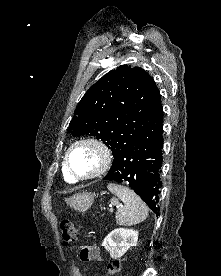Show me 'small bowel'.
Instances as JSON below:
<instances>
[{
	"instance_id": "obj_1",
	"label": "small bowel",
	"mask_w": 221,
	"mask_h": 276,
	"mask_svg": "<svg viewBox=\"0 0 221 276\" xmlns=\"http://www.w3.org/2000/svg\"><path fill=\"white\" fill-rule=\"evenodd\" d=\"M79 257L81 261H93L101 259L99 250L96 247L90 245L81 247ZM72 275L83 276L77 265L72 267Z\"/></svg>"
}]
</instances>
